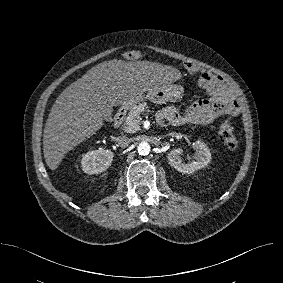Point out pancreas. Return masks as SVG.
<instances>
[{
	"label": "pancreas",
	"instance_id": "obj_1",
	"mask_svg": "<svg viewBox=\"0 0 283 283\" xmlns=\"http://www.w3.org/2000/svg\"><path fill=\"white\" fill-rule=\"evenodd\" d=\"M148 108L145 102L135 105L129 112L123 124V130L127 133H134L140 129L141 114Z\"/></svg>",
	"mask_w": 283,
	"mask_h": 283
}]
</instances>
